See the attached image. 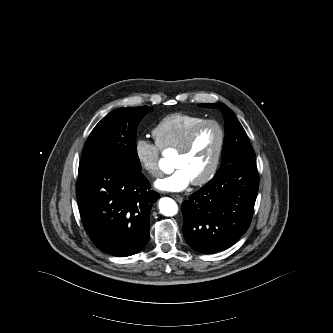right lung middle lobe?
I'll list each match as a JSON object with an SVG mask.
<instances>
[{
  "label": "right lung middle lobe",
  "mask_w": 333,
  "mask_h": 333,
  "mask_svg": "<svg viewBox=\"0 0 333 333\" xmlns=\"http://www.w3.org/2000/svg\"><path fill=\"white\" fill-rule=\"evenodd\" d=\"M152 109L148 106L121 108L109 113L91 132L82 155L83 163L113 161L141 171L136 149L139 122Z\"/></svg>",
  "instance_id": "1"
}]
</instances>
